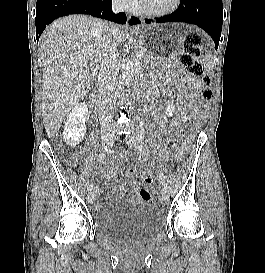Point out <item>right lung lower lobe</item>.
I'll return each instance as SVG.
<instances>
[{"label": "right lung lower lobe", "mask_w": 265, "mask_h": 273, "mask_svg": "<svg viewBox=\"0 0 265 273\" xmlns=\"http://www.w3.org/2000/svg\"><path fill=\"white\" fill-rule=\"evenodd\" d=\"M111 5L112 0H37L36 39L39 40L41 33L52 21L70 14H89L119 24H125V13L114 14Z\"/></svg>", "instance_id": "98d812e1"}]
</instances>
